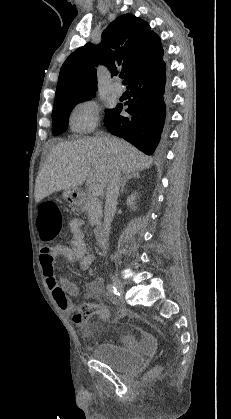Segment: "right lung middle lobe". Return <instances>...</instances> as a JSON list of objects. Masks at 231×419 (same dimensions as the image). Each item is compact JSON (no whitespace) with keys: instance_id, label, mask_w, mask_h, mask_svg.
Masks as SVG:
<instances>
[{"instance_id":"obj_1","label":"right lung middle lobe","mask_w":231,"mask_h":419,"mask_svg":"<svg viewBox=\"0 0 231 419\" xmlns=\"http://www.w3.org/2000/svg\"><path fill=\"white\" fill-rule=\"evenodd\" d=\"M94 94H90L83 97L77 98H70L61 100L54 103L53 111H52V132L53 135L62 134L68 125L69 115L71 110L74 108L76 104L79 102L85 101L93 97ZM111 110H107L106 114H108Z\"/></svg>"}]
</instances>
